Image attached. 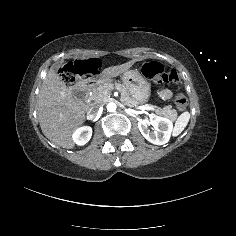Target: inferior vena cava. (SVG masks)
<instances>
[{
	"instance_id": "obj_1",
	"label": "inferior vena cava",
	"mask_w": 236,
	"mask_h": 236,
	"mask_svg": "<svg viewBox=\"0 0 236 236\" xmlns=\"http://www.w3.org/2000/svg\"><path fill=\"white\" fill-rule=\"evenodd\" d=\"M101 107H102V104H94L90 109V113L94 116L97 115Z\"/></svg>"
}]
</instances>
